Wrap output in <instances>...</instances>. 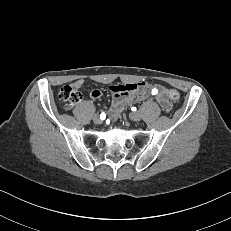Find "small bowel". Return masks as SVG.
<instances>
[{"label": "small bowel", "instance_id": "obj_1", "mask_svg": "<svg viewBox=\"0 0 231 231\" xmlns=\"http://www.w3.org/2000/svg\"><path fill=\"white\" fill-rule=\"evenodd\" d=\"M84 85L83 79H77L73 83V87L79 89ZM146 87L144 82H127L121 85H112L110 90L113 93V101L111 108L109 109V117L111 119H116L120 112L123 110L124 106L128 103L133 102L136 99V95L139 91ZM159 87V92L156 95V100L159 105L165 110H170V104L166 97V90L163 87ZM154 89V88H152ZM152 91V90H151ZM102 92L99 89H93L90 92V97L94 100L101 98Z\"/></svg>", "mask_w": 231, "mask_h": 231}]
</instances>
